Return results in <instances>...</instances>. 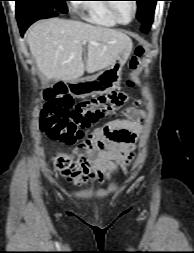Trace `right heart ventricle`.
<instances>
[{
    "mask_svg": "<svg viewBox=\"0 0 194 253\" xmlns=\"http://www.w3.org/2000/svg\"><path fill=\"white\" fill-rule=\"evenodd\" d=\"M78 7L85 19L91 23L106 27L119 24L110 13L104 0H86L81 2Z\"/></svg>",
    "mask_w": 194,
    "mask_h": 253,
    "instance_id": "e07e8e85",
    "label": "right heart ventricle"
}]
</instances>
